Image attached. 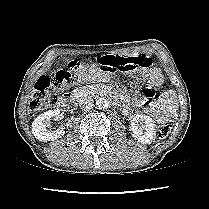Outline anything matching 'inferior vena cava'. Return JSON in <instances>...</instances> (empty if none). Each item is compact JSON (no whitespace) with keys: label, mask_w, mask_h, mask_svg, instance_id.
I'll return each instance as SVG.
<instances>
[{"label":"inferior vena cava","mask_w":209,"mask_h":209,"mask_svg":"<svg viewBox=\"0 0 209 209\" xmlns=\"http://www.w3.org/2000/svg\"><path fill=\"white\" fill-rule=\"evenodd\" d=\"M79 106L83 110H90L94 106V100L91 97H82Z\"/></svg>","instance_id":"602c4592"}]
</instances>
